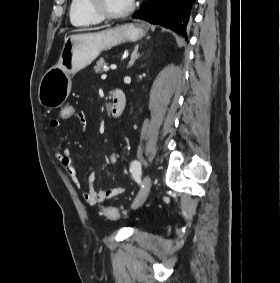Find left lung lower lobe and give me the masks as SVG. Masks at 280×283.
Listing matches in <instances>:
<instances>
[{"instance_id":"left-lung-lower-lobe-1","label":"left lung lower lobe","mask_w":280,"mask_h":283,"mask_svg":"<svg viewBox=\"0 0 280 283\" xmlns=\"http://www.w3.org/2000/svg\"><path fill=\"white\" fill-rule=\"evenodd\" d=\"M195 0H146L132 18L161 25L187 36L190 11ZM187 40V37H186Z\"/></svg>"}]
</instances>
